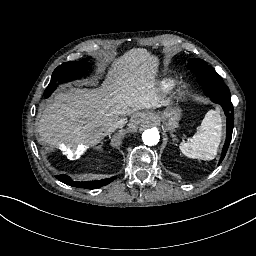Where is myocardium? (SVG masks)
<instances>
[{
	"mask_svg": "<svg viewBox=\"0 0 256 256\" xmlns=\"http://www.w3.org/2000/svg\"><path fill=\"white\" fill-rule=\"evenodd\" d=\"M187 95V89L186 87H183L180 91H179V97L180 98H185Z\"/></svg>",
	"mask_w": 256,
	"mask_h": 256,
	"instance_id": "obj_1",
	"label": "myocardium"
}]
</instances>
